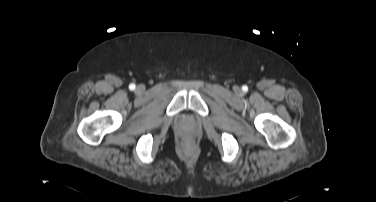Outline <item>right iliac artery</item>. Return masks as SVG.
Returning a JSON list of instances; mask_svg holds the SVG:
<instances>
[{"label":"right iliac artery","mask_w":376,"mask_h":202,"mask_svg":"<svg viewBox=\"0 0 376 202\" xmlns=\"http://www.w3.org/2000/svg\"><path fill=\"white\" fill-rule=\"evenodd\" d=\"M135 87H136L135 84H130V85H129L130 90H134Z\"/></svg>","instance_id":"right-iliac-artery-1"}]
</instances>
